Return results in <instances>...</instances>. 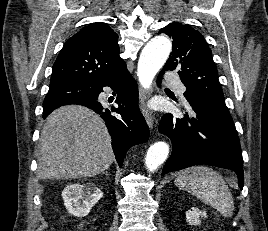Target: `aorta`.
Returning <instances> with one entry per match:
<instances>
[{
	"label": "aorta",
	"mask_w": 268,
	"mask_h": 231,
	"mask_svg": "<svg viewBox=\"0 0 268 231\" xmlns=\"http://www.w3.org/2000/svg\"><path fill=\"white\" fill-rule=\"evenodd\" d=\"M172 49L171 41L165 36L152 38L143 48L137 67V75L144 89L151 87L152 81L158 71L165 64ZM169 145L159 141L151 145L145 157V166L150 172L156 171L167 159Z\"/></svg>",
	"instance_id": "1"
}]
</instances>
